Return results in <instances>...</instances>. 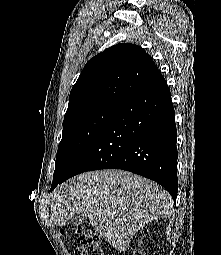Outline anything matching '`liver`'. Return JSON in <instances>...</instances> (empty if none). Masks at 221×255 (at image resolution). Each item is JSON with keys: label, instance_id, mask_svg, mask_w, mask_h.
<instances>
[{"label": "liver", "instance_id": "liver-1", "mask_svg": "<svg viewBox=\"0 0 221 255\" xmlns=\"http://www.w3.org/2000/svg\"><path fill=\"white\" fill-rule=\"evenodd\" d=\"M172 200L155 182L122 170L80 174L62 184L51 197V220L65 226L75 215L91 226L119 252L146 224L170 216Z\"/></svg>", "mask_w": 221, "mask_h": 255}]
</instances>
